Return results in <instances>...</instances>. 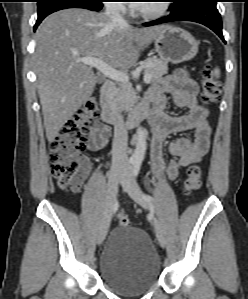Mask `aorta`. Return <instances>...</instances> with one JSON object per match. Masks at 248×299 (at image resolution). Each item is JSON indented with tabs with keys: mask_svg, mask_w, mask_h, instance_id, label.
Here are the masks:
<instances>
[{
	"mask_svg": "<svg viewBox=\"0 0 248 299\" xmlns=\"http://www.w3.org/2000/svg\"><path fill=\"white\" fill-rule=\"evenodd\" d=\"M136 140V148L131 159L135 162H142L146 152L147 143L145 130L141 126L137 128Z\"/></svg>",
	"mask_w": 248,
	"mask_h": 299,
	"instance_id": "aorta-1",
	"label": "aorta"
}]
</instances>
